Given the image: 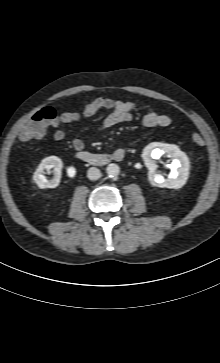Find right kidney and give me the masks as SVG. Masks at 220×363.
<instances>
[{
  "label": "right kidney",
  "mask_w": 220,
  "mask_h": 363,
  "mask_svg": "<svg viewBox=\"0 0 220 363\" xmlns=\"http://www.w3.org/2000/svg\"><path fill=\"white\" fill-rule=\"evenodd\" d=\"M53 168L54 177L51 180H47L44 176L45 169ZM63 168V162L56 156H50L42 160L38 165L36 171L33 174V180L37 186L41 189L56 188L61 179V170Z\"/></svg>",
  "instance_id": "obj_1"
}]
</instances>
